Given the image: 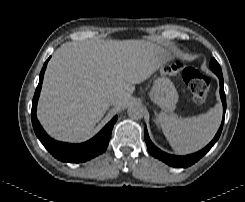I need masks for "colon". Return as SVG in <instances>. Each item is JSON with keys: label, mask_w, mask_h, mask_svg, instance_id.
Returning a JSON list of instances; mask_svg holds the SVG:
<instances>
[{"label": "colon", "mask_w": 245, "mask_h": 202, "mask_svg": "<svg viewBox=\"0 0 245 202\" xmlns=\"http://www.w3.org/2000/svg\"><path fill=\"white\" fill-rule=\"evenodd\" d=\"M179 66L183 67L182 64H179ZM182 75L185 82L189 85L194 99L197 102H202L210 89V78L193 66H184Z\"/></svg>", "instance_id": "1"}]
</instances>
